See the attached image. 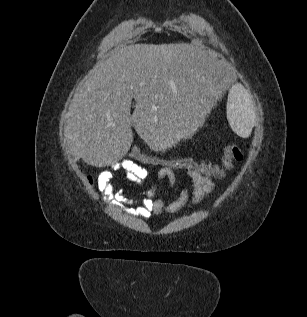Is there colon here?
Wrapping results in <instances>:
<instances>
[{
  "mask_svg": "<svg viewBox=\"0 0 307 317\" xmlns=\"http://www.w3.org/2000/svg\"><path fill=\"white\" fill-rule=\"evenodd\" d=\"M124 159L134 163L140 162L171 170L185 169L196 171L208 177H224L231 170L234 161H241L243 159V153L237 146H228L224 150L220 162L214 163L189 156L156 154L137 146H131ZM89 181L92 183L91 177H89Z\"/></svg>",
  "mask_w": 307,
  "mask_h": 317,
  "instance_id": "colon-1",
  "label": "colon"
}]
</instances>
